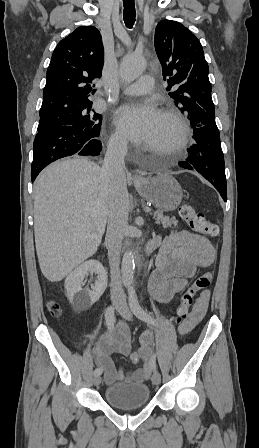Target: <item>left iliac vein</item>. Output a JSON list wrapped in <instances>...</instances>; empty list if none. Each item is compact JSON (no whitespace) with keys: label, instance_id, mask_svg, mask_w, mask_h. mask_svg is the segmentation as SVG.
<instances>
[{"label":"left iliac vein","instance_id":"4c4485c4","mask_svg":"<svg viewBox=\"0 0 259 448\" xmlns=\"http://www.w3.org/2000/svg\"><path fill=\"white\" fill-rule=\"evenodd\" d=\"M116 309L118 311V313L125 319L127 320H131L132 319V315L131 312L128 308L127 303L125 302L124 299H120L119 302L117 303ZM161 382V375L158 371H155L153 376H152V383L154 385H158Z\"/></svg>","mask_w":259,"mask_h":448}]
</instances>
